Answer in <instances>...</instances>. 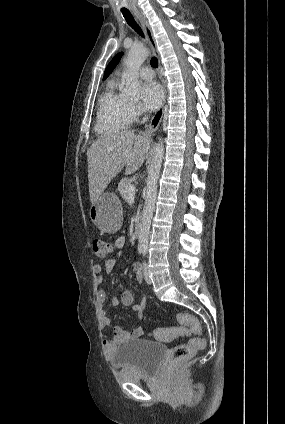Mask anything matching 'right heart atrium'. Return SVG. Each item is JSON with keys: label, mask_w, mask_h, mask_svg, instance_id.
I'll use <instances>...</instances> for the list:
<instances>
[{"label": "right heart atrium", "mask_w": 285, "mask_h": 424, "mask_svg": "<svg viewBox=\"0 0 285 424\" xmlns=\"http://www.w3.org/2000/svg\"><path fill=\"white\" fill-rule=\"evenodd\" d=\"M141 112L140 106L136 103H130L129 105V115H130V119H134L137 116H139Z\"/></svg>", "instance_id": "1"}]
</instances>
